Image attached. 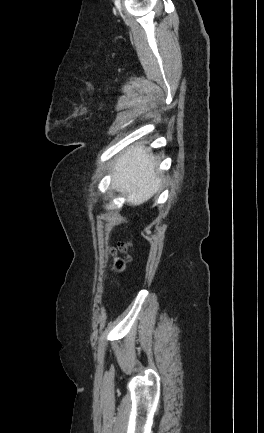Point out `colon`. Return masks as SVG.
<instances>
[{"mask_svg":"<svg viewBox=\"0 0 264 433\" xmlns=\"http://www.w3.org/2000/svg\"><path fill=\"white\" fill-rule=\"evenodd\" d=\"M130 244L129 243H122L119 245V247L115 250V253H121L124 254L125 256L128 253ZM127 256L126 257H116L115 259V266L118 270H123L126 266L127 263Z\"/></svg>","mask_w":264,"mask_h":433,"instance_id":"colon-1","label":"colon"}]
</instances>
